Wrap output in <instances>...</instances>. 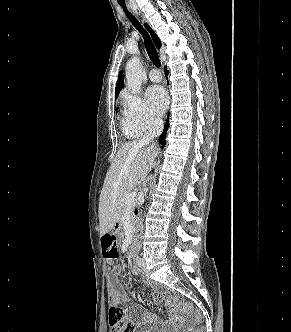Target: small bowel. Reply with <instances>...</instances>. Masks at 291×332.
I'll return each instance as SVG.
<instances>
[{
	"label": "small bowel",
	"mask_w": 291,
	"mask_h": 332,
	"mask_svg": "<svg viewBox=\"0 0 291 332\" xmlns=\"http://www.w3.org/2000/svg\"><path fill=\"white\" fill-rule=\"evenodd\" d=\"M122 273H123V268L117 265L112 268L109 275L108 295L109 299L113 302H116L119 299L126 298V292L123 289L119 288V280L121 278ZM132 273L135 275H141L140 270L136 267L132 268ZM152 299L157 303H160L161 301L164 300L168 305L170 297L165 296L160 289H155V291L152 294ZM132 317H133V323L131 326L133 332H143L138 329V326L140 325L153 324L156 328L163 329L167 327L176 326L177 324L182 322L181 315L171 312V316L167 321H165L164 323H159L157 321V317L154 314L149 313L147 310H145L143 307L139 305H135L132 307Z\"/></svg>",
	"instance_id": "obj_1"
}]
</instances>
